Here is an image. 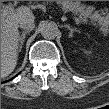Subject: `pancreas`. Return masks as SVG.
<instances>
[{
    "label": "pancreas",
    "mask_w": 109,
    "mask_h": 109,
    "mask_svg": "<svg viewBox=\"0 0 109 109\" xmlns=\"http://www.w3.org/2000/svg\"><path fill=\"white\" fill-rule=\"evenodd\" d=\"M61 6L63 11L74 12L83 23H87L88 19L93 25L100 26L103 33L109 30V17L104 11L99 12L93 7L82 4L80 1H55Z\"/></svg>",
    "instance_id": "obj_1"
}]
</instances>
